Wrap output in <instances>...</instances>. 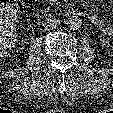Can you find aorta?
Here are the masks:
<instances>
[{"instance_id": "1", "label": "aorta", "mask_w": 113, "mask_h": 113, "mask_svg": "<svg viewBox=\"0 0 113 113\" xmlns=\"http://www.w3.org/2000/svg\"><path fill=\"white\" fill-rule=\"evenodd\" d=\"M67 25L71 30H78L82 26V20L79 16L73 15L67 19Z\"/></svg>"}]
</instances>
